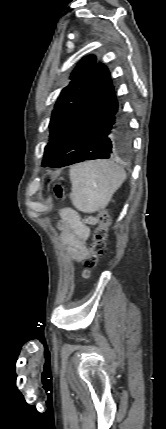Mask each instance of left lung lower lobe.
Returning a JSON list of instances; mask_svg holds the SVG:
<instances>
[{"label":"left lung lower lobe","mask_w":166,"mask_h":429,"mask_svg":"<svg viewBox=\"0 0 166 429\" xmlns=\"http://www.w3.org/2000/svg\"><path fill=\"white\" fill-rule=\"evenodd\" d=\"M127 118L121 112L108 69L95 62L60 142L44 167L60 168L106 159L130 146Z\"/></svg>","instance_id":"obj_1"}]
</instances>
